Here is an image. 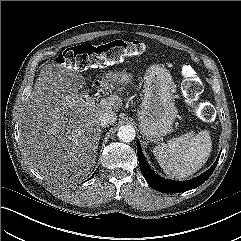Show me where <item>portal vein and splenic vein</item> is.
<instances>
[{
  "instance_id": "1",
  "label": "portal vein and splenic vein",
  "mask_w": 241,
  "mask_h": 241,
  "mask_svg": "<svg viewBox=\"0 0 241 241\" xmlns=\"http://www.w3.org/2000/svg\"><path fill=\"white\" fill-rule=\"evenodd\" d=\"M83 96H84V98H86V99H87V98H90L88 95H83Z\"/></svg>"
}]
</instances>
